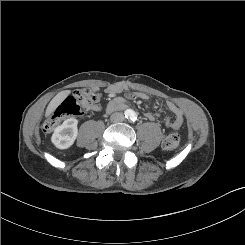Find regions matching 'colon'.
<instances>
[{
	"label": "colon",
	"instance_id": "obj_1",
	"mask_svg": "<svg viewBox=\"0 0 245 245\" xmlns=\"http://www.w3.org/2000/svg\"><path fill=\"white\" fill-rule=\"evenodd\" d=\"M101 108V95L96 89L85 88L77 90L67 97L46 119L44 130L51 132L65 118L90 115L100 111ZM179 142V135L171 133L164 138L162 148L167 152L173 151L178 147Z\"/></svg>",
	"mask_w": 245,
	"mask_h": 245
}]
</instances>
